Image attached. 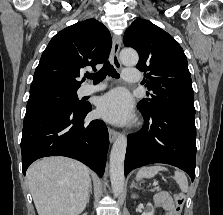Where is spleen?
Returning <instances> with one entry per match:
<instances>
[{
    "label": "spleen",
    "mask_w": 223,
    "mask_h": 215,
    "mask_svg": "<svg viewBox=\"0 0 223 215\" xmlns=\"http://www.w3.org/2000/svg\"><path fill=\"white\" fill-rule=\"evenodd\" d=\"M158 171H167V167H162L161 163L150 165V167H141L137 173V179H141V177H154ZM174 179L179 183L182 191H188V179L184 171H175Z\"/></svg>",
    "instance_id": "obj_1"
}]
</instances>
